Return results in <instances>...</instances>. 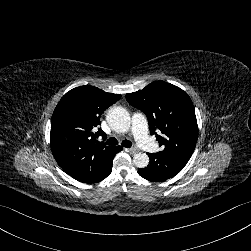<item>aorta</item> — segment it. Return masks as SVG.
Returning a JSON list of instances; mask_svg holds the SVG:
<instances>
[{
  "label": "aorta",
  "instance_id": "762f6f07",
  "mask_svg": "<svg viewBox=\"0 0 251 251\" xmlns=\"http://www.w3.org/2000/svg\"><path fill=\"white\" fill-rule=\"evenodd\" d=\"M107 122L116 133H127L131 128V117L129 113L120 107L111 108L107 114ZM133 162L138 168H145L149 164V157L146 153L137 152L134 154Z\"/></svg>",
  "mask_w": 251,
  "mask_h": 251
}]
</instances>
